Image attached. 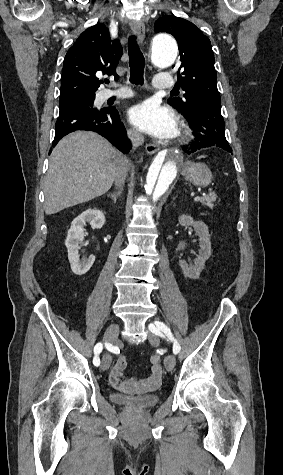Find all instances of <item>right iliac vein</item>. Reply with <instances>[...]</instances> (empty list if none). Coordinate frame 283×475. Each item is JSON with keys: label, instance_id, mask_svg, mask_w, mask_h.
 <instances>
[{"label": "right iliac vein", "instance_id": "1", "mask_svg": "<svg viewBox=\"0 0 283 475\" xmlns=\"http://www.w3.org/2000/svg\"><path fill=\"white\" fill-rule=\"evenodd\" d=\"M118 333H119L118 324L116 323L111 324L104 333V342L113 343L117 339ZM110 365H111V356L106 354L102 358L101 369L107 370L109 369Z\"/></svg>", "mask_w": 283, "mask_h": 475}]
</instances>
